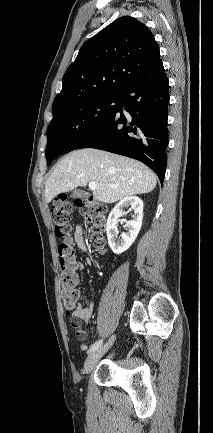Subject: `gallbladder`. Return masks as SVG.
I'll return each instance as SVG.
<instances>
[{"instance_id": "bac80fb5", "label": "gallbladder", "mask_w": 213, "mask_h": 433, "mask_svg": "<svg viewBox=\"0 0 213 433\" xmlns=\"http://www.w3.org/2000/svg\"><path fill=\"white\" fill-rule=\"evenodd\" d=\"M86 196V193L81 190H74L71 194V197L73 198H83Z\"/></svg>"}]
</instances>
